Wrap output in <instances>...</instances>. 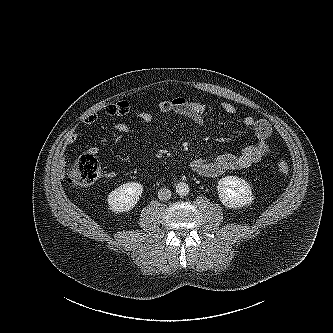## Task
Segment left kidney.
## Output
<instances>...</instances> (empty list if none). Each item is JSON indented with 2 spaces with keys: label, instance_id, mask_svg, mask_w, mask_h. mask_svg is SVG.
I'll return each instance as SVG.
<instances>
[{
  "label": "left kidney",
  "instance_id": "obj_1",
  "mask_svg": "<svg viewBox=\"0 0 333 333\" xmlns=\"http://www.w3.org/2000/svg\"><path fill=\"white\" fill-rule=\"evenodd\" d=\"M218 195L221 203L229 208H241L253 202L250 185L237 176H227L218 181Z\"/></svg>",
  "mask_w": 333,
  "mask_h": 333
}]
</instances>
